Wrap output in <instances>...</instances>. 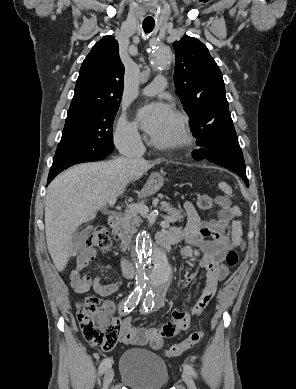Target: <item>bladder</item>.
<instances>
[{"label":"bladder","mask_w":296,"mask_h":389,"mask_svg":"<svg viewBox=\"0 0 296 389\" xmlns=\"http://www.w3.org/2000/svg\"><path fill=\"white\" fill-rule=\"evenodd\" d=\"M119 369L122 380L132 389H163L168 383L166 363L148 350H126L120 358Z\"/></svg>","instance_id":"1"}]
</instances>
